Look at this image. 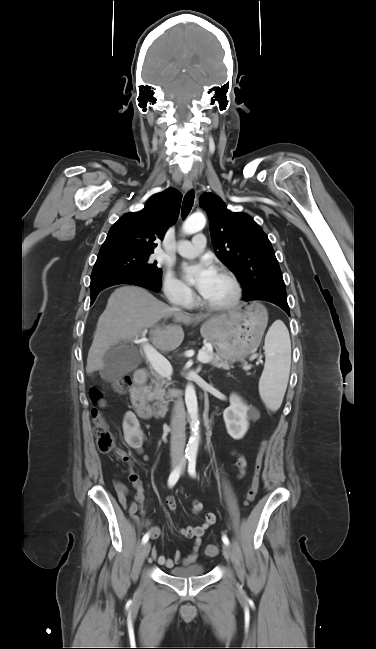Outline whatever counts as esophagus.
Here are the masks:
<instances>
[{"mask_svg": "<svg viewBox=\"0 0 376 649\" xmlns=\"http://www.w3.org/2000/svg\"><path fill=\"white\" fill-rule=\"evenodd\" d=\"M192 188H193V183H192V181H185V182L183 183V187H182V189H183L184 192L189 191V190H191Z\"/></svg>", "mask_w": 376, "mask_h": 649, "instance_id": "34e87169", "label": "esophagus"}]
</instances>
